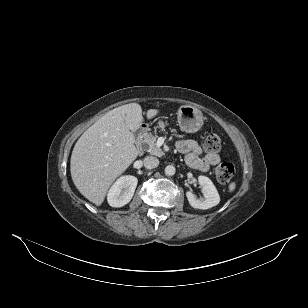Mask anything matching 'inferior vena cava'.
<instances>
[{"mask_svg": "<svg viewBox=\"0 0 308 308\" xmlns=\"http://www.w3.org/2000/svg\"><path fill=\"white\" fill-rule=\"evenodd\" d=\"M143 163L145 168L153 169L159 165V160L154 156H147L144 158Z\"/></svg>", "mask_w": 308, "mask_h": 308, "instance_id": "obj_1", "label": "inferior vena cava"}]
</instances>
